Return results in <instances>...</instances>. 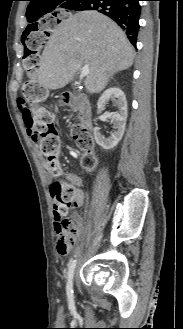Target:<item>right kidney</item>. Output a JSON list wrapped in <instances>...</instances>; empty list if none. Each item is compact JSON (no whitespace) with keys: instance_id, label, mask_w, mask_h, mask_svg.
<instances>
[{"instance_id":"1","label":"right kidney","mask_w":183,"mask_h":329,"mask_svg":"<svg viewBox=\"0 0 183 329\" xmlns=\"http://www.w3.org/2000/svg\"><path fill=\"white\" fill-rule=\"evenodd\" d=\"M116 101L118 111L110 113L114 131L109 137H105L99 127L94 128V138L96 143L105 150L112 149L122 139L127 119V101L125 94L118 87H111L104 91L97 102L98 114L104 110L108 101Z\"/></svg>"}]
</instances>
